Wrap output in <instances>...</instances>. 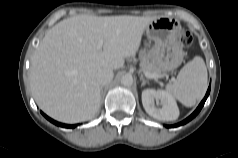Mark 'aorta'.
I'll use <instances>...</instances> for the list:
<instances>
[{
  "label": "aorta",
  "mask_w": 238,
  "mask_h": 158,
  "mask_svg": "<svg viewBox=\"0 0 238 158\" xmlns=\"http://www.w3.org/2000/svg\"><path fill=\"white\" fill-rule=\"evenodd\" d=\"M121 83L124 86H131L133 84L132 76L129 75V74H126V75L122 76Z\"/></svg>",
  "instance_id": "762f6f07"
}]
</instances>
